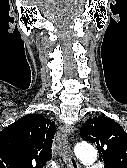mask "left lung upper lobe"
I'll return each mask as SVG.
<instances>
[{"label":"left lung upper lobe","mask_w":127,"mask_h":168,"mask_svg":"<svg viewBox=\"0 0 127 168\" xmlns=\"http://www.w3.org/2000/svg\"><path fill=\"white\" fill-rule=\"evenodd\" d=\"M80 136L96 145L105 168H127V133L114 120L104 116L88 119Z\"/></svg>","instance_id":"left-lung-upper-lobe-1"}]
</instances>
